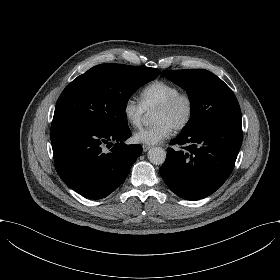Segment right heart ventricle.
I'll use <instances>...</instances> for the list:
<instances>
[{
	"instance_id": "e07e8e85",
	"label": "right heart ventricle",
	"mask_w": 280,
	"mask_h": 280,
	"mask_svg": "<svg viewBox=\"0 0 280 280\" xmlns=\"http://www.w3.org/2000/svg\"><path fill=\"white\" fill-rule=\"evenodd\" d=\"M180 91V88L164 80H155L144 86L140 92V100L146 111H152L162 102Z\"/></svg>"
}]
</instances>
